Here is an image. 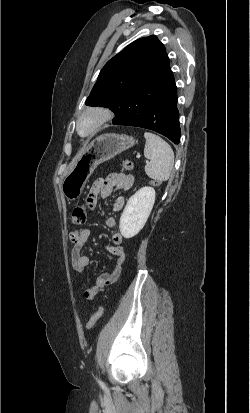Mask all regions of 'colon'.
Instances as JSON below:
<instances>
[{
  "instance_id": "1",
  "label": "colon",
  "mask_w": 250,
  "mask_h": 413,
  "mask_svg": "<svg viewBox=\"0 0 250 413\" xmlns=\"http://www.w3.org/2000/svg\"><path fill=\"white\" fill-rule=\"evenodd\" d=\"M123 168L127 171H131L134 168V164L131 160L125 159L122 162ZM164 184V181L162 178H150L148 180V185L150 187H162ZM90 206H87L86 203L76 206L71 214V222L74 225H82L86 222L87 220V213L88 209ZM103 314V309L102 307H98L96 311L91 315L89 318L87 324H86V330H90L96 322L101 318Z\"/></svg>"
}]
</instances>
